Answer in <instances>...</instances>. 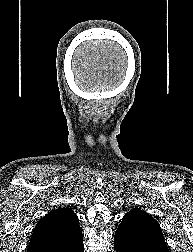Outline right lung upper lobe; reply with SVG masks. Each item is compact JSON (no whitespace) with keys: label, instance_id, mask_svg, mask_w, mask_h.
<instances>
[{"label":"right lung upper lobe","instance_id":"cb5924a9","mask_svg":"<svg viewBox=\"0 0 193 252\" xmlns=\"http://www.w3.org/2000/svg\"><path fill=\"white\" fill-rule=\"evenodd\" d=\"M81 232L78 217L73 210L68 207L58 208L37 223L27 252L64 243Z\"/></svg>","mask_w":193,"mask_h":252}]
</instances>
